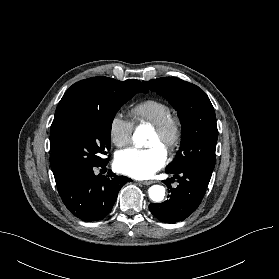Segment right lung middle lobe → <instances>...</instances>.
Here are the masks:
<instances>
[{
	"label": "right lung middle lobe",
	"mask_w": 279,
	"mask_h": 279,
	"mask_svg": "<svg viewBox=\"0 0 279 279\" xmlns=\"http://www.w3.org/2000/svg\"><path fill=\"white\" fill-rule=\"evenodd\" d=\"M138 90L109 87L100 104L79 103L62 117L53 133L56 156L66 177L88 166H101L111 147L110 130L115 114Z\"/></svg>",
	"instance_id": "dd1d6c3e"
}]
</instances>
